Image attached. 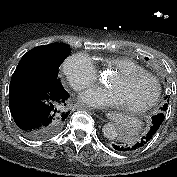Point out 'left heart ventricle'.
Here are the masks:
<instances>
[{
  "instance_id": "left-heart-ventricle-1",
  "label": "left heart ventricle",
  "mask_w": 177,
  "mask_h": 177,
  "mask_svg": "<svg viewBox=\"0 0 177 177\" xmlns=\"http://www.w3.org/2000/svg\"><path fill=\"white\" fill-rule=\"evenodd\" d=\"M108 86L119 95L122 105H137L147 100L154 89L153 83L147 78L123 79L114 75Z\"/></svg>"
}]
</instances>
